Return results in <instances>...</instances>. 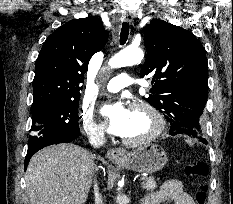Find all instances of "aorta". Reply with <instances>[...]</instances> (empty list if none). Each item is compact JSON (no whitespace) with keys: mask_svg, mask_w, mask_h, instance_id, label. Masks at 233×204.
<instances>
[{"mask_svg":"<svg viewBox=\"0 0 233 204\" xmlns=\"http://www.w3.org/2000/svg\"><path fill=\"white\" fill-rule=\"evenodd\" d=\"M144 53L140 48L128 47L113 56L108 64L111 68L131 66L142 61Z\"/></svg>","mask_w":233,"mask_h":204,"instance_id":"1","label":"aorta"}]
</instances>
